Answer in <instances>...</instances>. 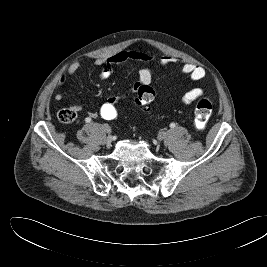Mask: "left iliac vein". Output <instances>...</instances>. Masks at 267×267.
<instances>
[{
	"label": "left iliac vein",
	"instance_id": "4c4485c4",
	"mask_svg": "<svg viewBox=\"0 0 267 267\" xmlns=\"http://www.w3.org/2000/svg\"><path fill=\"white\" fill-rule=\"evenodd\" d=\"M167 135H168L167 132H165V131H161V132L158 133V139H159V140H164V139L167 138Z\"/></svg>",
	"mask_w": 267,
	"mask_h": 267
}]
</instances>
